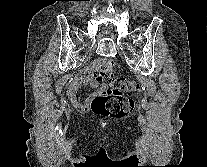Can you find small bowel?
Here are the masks:
<instances>
[{
  "instance_id": "obj_1",
  "label": "small bowel",
  "mask_w": 207,
  "mask_h": 167,
  "mask_svg": "<svg viewBox=\"0 0 207 167\" xmlns=\"http://www.w3.org/2000/svg\"><path fill=\"white\" fill-rule=\"evenodd\" d=\"M88 85L92 88H96L97 85L93 81L90 73L88 71L81 73L77 76L74 82L70 85L68 89V97L73 105L81 112H86L94 98V95H89L84 101H81L78 97V90L80 87Z\"/></svg>"
}]
</instances>
